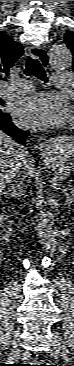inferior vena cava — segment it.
<instances>
[{"instance_id":"obj_1","label":"inferior vena cava","mask_w":74,"mask_h":366,"mask_svg":"<svg viewBox=\"0 0 74 366\" xmlns=\"http://www.w3.org/2000/svg\"><path fill=\"white\" fill-rule=\"evenodd\" d=\"M21 159L23 160L24 158H23V155H21ZM18 177H20V172L18 173V175H17ZM19 184H20V188H21V191H20V193H22L23 192V188L25 187V185L21 182V181H19L18 182Z\"/></svg>"}]
</instances>
